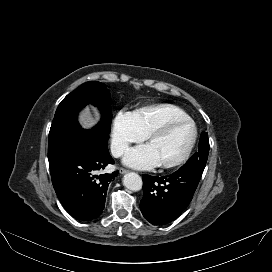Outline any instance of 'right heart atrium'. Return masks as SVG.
<instances>
[{"mask_svg":"<svg viewBox=\"0 0 272 272\" xmlns=\"http://www.w3.org/2000/svg\"><path fill=\"white\" fill-rule=\"evenodd\" d=\"M144 135L138 130L133 113L119 110L112 121L111 128V151L114 156H122L133 143H139Z\"/></svg>","mask_w":272,"mask_h":272,"instance_id":"obj_1","label":"right heart atrium"}]
</instances>
